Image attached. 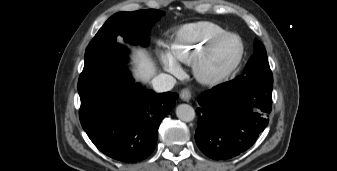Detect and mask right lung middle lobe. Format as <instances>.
I'll return each instance as SVG.
<instances>
[{
    "instance_id": "right-lung-middle-lobe-1",
    "label": "right lung middle lobe",
    "mask_w": 337,
    "mask_h": 171,
    "mask_svg": "<svg viewBox=\"0 0 337 171\" xmlns=\"http://www.w3.org/2000/svg\"><path fill=\"white\" fill-rule=\"evenodd\" d=\"M165 13L156 9L139 10L133 12H120L110 17L99 29L95 37L86 48L85 56L99 47L109 44H119L117 37H123L131 44H149L152 26Z\"/></svg>"
}]
</instances>
